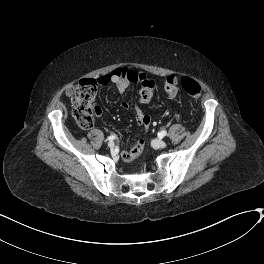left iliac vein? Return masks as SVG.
Masks as SVG:
<instances>
[{
    "label": "left iliac vein",
    "mask_w": 264,
    "mask_h": 264,
    "mask_svg": "<svg viewBox=\"0 0 264 264\" xmlns=\"http://www.w3.org/2000/svg\"><path fill=\"white\" fill-rule=\"evenodd\" d=\"M153 145L157 148H165L167 146V143L164 140H153Z\"/></svg>",
    "instance_id": "1"
}]
</instances>
